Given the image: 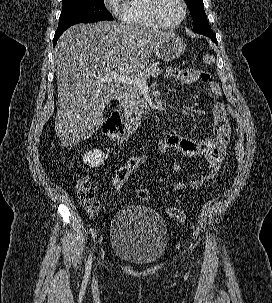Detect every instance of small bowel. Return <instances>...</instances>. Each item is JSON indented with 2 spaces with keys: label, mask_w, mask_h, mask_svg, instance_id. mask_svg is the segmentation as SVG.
Returning a JSON list of instances; mask_svg holds the SVG:
<instances>
[{
  "label": "small bowel",
  "mask_w": 272,
  "mask_h": 303,
  "mask_svg": "<svg viewBox=\"0 0 272 303\" xmlns=\"http://www.w3.org/2000/svg\"><path fill=\"white\" fill-rule=\"evenodd\" d=\"M166 77L178 80L185 84L197 81L208 83L210 93L214 98L222 95L220 85L211 79L210 74L197 70H179L168 68ZM231 137V125L229 114L225 103L216 102L212 110V131L211 135L204 139H193L181 136L176 133L167 134L159 143L160 154H168L171 151L179 152L187 157L201 158L207 164V171L192 179H181L175 177L173 188L175 190L192 189L199 190L207 182L213 180L219 173L222 163L226 157L227 146ZM184 171L179 163L173 164V172L177 175Z\"/></svg>",
  "instance_id": "small-bowel-1"
}]
</instances>
